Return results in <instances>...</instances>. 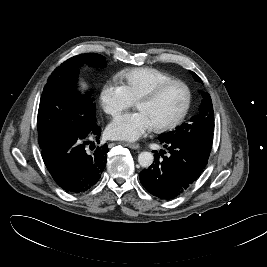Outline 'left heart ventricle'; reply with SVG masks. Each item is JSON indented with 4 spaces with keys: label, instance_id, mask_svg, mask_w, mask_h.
<instances>
[{
    "label": "left heart ventricle",
    "instance_id": "obj_1",
    "mask_svg": "<svg viewBox=\"0 0 267 267\" xmlns=\"http://www.w3.org/2000/svg\"><path fill=\"white\" fill-rule=\"evenodd\" d=\"M186 93L182 86L174 85L164 90L156 99L137 104L135 107L148 119L151 127L174 120L182 111Z\"/></svg>",
    "mask_w": 267,
    "mask_h": 267
}]
</instances>
